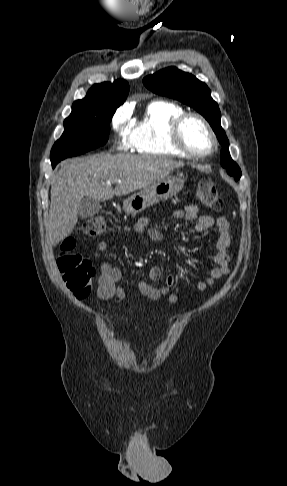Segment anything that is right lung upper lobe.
Returning <instances> with one entry per match:
<instances>
[{
  "instance_id": "right-lung-upper-lobe-1",
  "label": "right lung upper lobe",
  "mask_w": 287,
  "mask_h": 486,
  "mask_svg": "<svg viewBox=\"0 0 287 486\" xmlns=\"http://www.w3.org/2000/svg\"><path fill=\"white\" fill-rule=\"evenodd\" d=\"M128 92L129 84L123 79L95 84L85 98L73 103L72 109L101 107L116 110L126 100Z\"/></svg>"
}]
</instances>
